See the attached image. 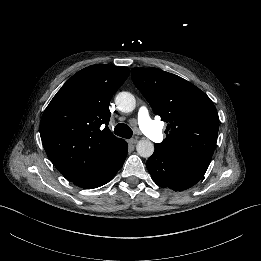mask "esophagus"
Listing matches in <instances>:
<instances>
[{
  "mask_svg": "<svg viewBox=\"0 0 261 261\" xmlns=\"http://www.w3.org/2000/svg\"><path fill=\"white\" fill-rule=\"evenodd\" d=\"M138 142V139H129L128 143L130 144H136Z\"/></svg>",
  "mask_w": 261,
  "mask_h": 261,
  "instance_id": "1",
  "label": "esophagus"
}]
</instances>
